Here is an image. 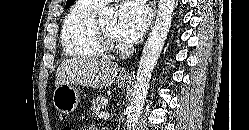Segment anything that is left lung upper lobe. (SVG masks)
Segmentation results:
<instances>
[{
    "instance_id": "obj_1",
    "label": "left lung upper lobe",
    "mask_w": 249,
    "mask_h": 130,
    "mask_svg": "<svg viewBox=\"0 0 249 130\" xmlns=\"http://www.w3.org/2000/svg\"><path fill=\"white\" fill-rule=\"evenodd\" d=\"M74 0H67L66 8H69L73 4Z\"/></svg>"
}]
</instances>
